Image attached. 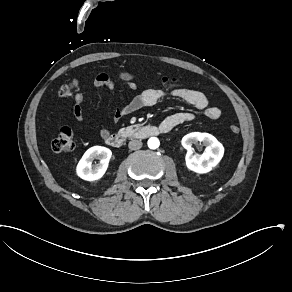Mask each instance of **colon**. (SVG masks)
<instances>
[{
  "label": "colon",
  "mask_w": 292,
  "mask_h": 292,
  "mask_svg": "<svg viewBox=\"0 0 292 292\" xmlns=\"http://www.w3.org/2000/svg\"><path fill=\"white\" fill-rule=\"evenodd\" d=\"M181 78H162L160 85L163 88H168L172 86H178L182 83ZM82 83L80 81H72L68 84L62 86L59 92V96L63 100L69 99L72 94L81 87ZM230 131L233 134L239 133V128L236 125H230ZM74 147V134L71 130L64 129L61 130L52 141V149L57 153L69 152Z\"/></svg>",
  "instance_id": "colon-1"
}]
</instances>
